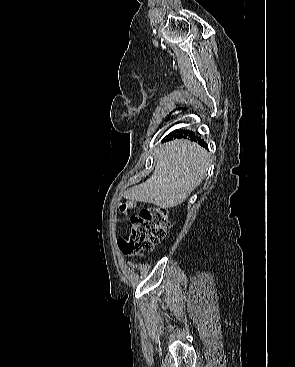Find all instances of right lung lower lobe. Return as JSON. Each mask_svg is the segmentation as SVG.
Wrapping results in <instances>:
<instances>
[{
    "mask_svg": "<svg viewBox=\"0 0 295 367\" xmlns=\"http://www.w3.org/2000/svg\"><path fill=\"white\" fill-rule=\"evenodd\" d=\"M172 138H190L192 141L198 142L202 147L208 149L207 144L200 138H196L194 132L189 130H177L168 135V140Z\"/></svg>",
    "mask_w": 295,
    "mask_h": 367,
    "instance_id": "obj_1",
    "label": "right lung lower lobe"
}]
</instances>
